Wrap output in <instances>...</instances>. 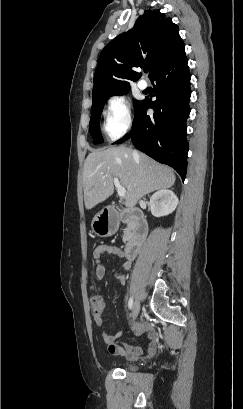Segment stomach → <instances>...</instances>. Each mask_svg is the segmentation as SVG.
Segmentation results:
<instances>
[{
  "instance_id": "0dacf381",
  "label": "stomach",
  "mask_w": 243,
  "mask_h": 409,
  "mask_svg": "<svg viewBox=\"0 0 243 409\" xmlns=\"http://www.w3.org/2000/svg\"><path fill=\"white\" fill-rule=\"evenodd\" d=\"M91 227L93 232L100 237L111 236L116 230V224L108 220L103 212H99L94 216Z\"/></svg>"
}]
</instances>
